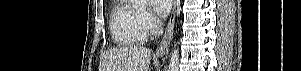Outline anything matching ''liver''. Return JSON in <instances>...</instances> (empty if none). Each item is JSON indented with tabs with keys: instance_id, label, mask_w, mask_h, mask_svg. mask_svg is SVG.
<instances>
[{
	"instance_id": "1",
	"label": "liver",
	"mask_w": 301,
	"mask_h": 71,
	"mask_svg": "<svg viewBox=\"0 0 301 71\" xmlns=\"http://www.w3.org/2000/svg\"><path fill=\"white\" fill-rule=\"evenodd\" d=\"M151 55V50L137 45L114 48L103 56V71H148Z\"/></svg>"
}]
</instances>
